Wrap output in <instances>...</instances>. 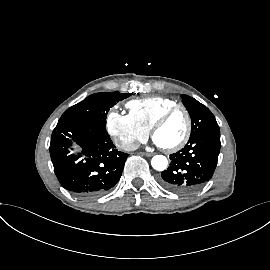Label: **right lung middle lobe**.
Listing matches in <instances>:
<instances>
[{"label":"right lung middle lobe","mask_w":270,"mask_h":270,"mask_svg":"<svg viewBox=\"0 0 270 270\" xmlns=\"http://www.w3.org/2000/svg\"><path fill=\"white\" fill-rule=\"evenodd\" d=\"M131 95L132 93H120L118 91L92 94L85 100L67 109L58 123L88 121L105 128L106 117L110 108Z\"/></svg>","instance_id":"obj_1"}]
</instances>
